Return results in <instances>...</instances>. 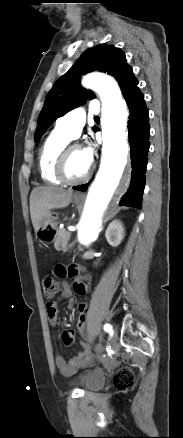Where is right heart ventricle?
Here are the masks:
<instances>
[{
	"instance_id": "right-heart-ventricle-1",
	"label": "right heart ventricle",
	"mask_w": 183,
	"mask_h": 438,
	"mask_svg": "<svg viewBox=\"0 0 183 438\" xmlns=\"http://www.w3.org/2000/svg\"><path fill=\"white\" fill-rule=\"evenodd\" d=\"M70 138L56 128L49 134L41 146L38 165L42 179L51 185L61 182L54 174L57 157L61 150L68 144Z\"/></svg>"
}]
</instances>
